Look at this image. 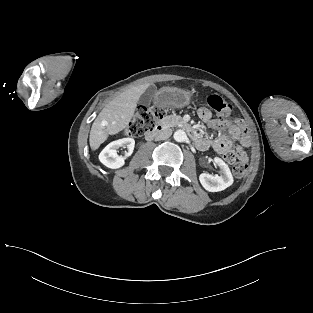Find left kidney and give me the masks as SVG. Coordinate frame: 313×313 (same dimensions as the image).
<instances>
[{"mask_svg": "<svg viewBox=\"0 0 313 313\" xmlns=\"http://www.w3.org/2000/svg\"><path fill=\"white\" fill-rule=\"evenodd\" d=\"M214 162L220 167V176L210 175L208 173H202L199 176L201 185L209 192L225 190L227 187L231 186L234 181L228 165L222 159L216 157L214 158Z\"/></svg>", "mask_w": 313, "mask_h": 313, "instance_id": "left-kidney-1", "label": "left kidney"}]
</instances>
